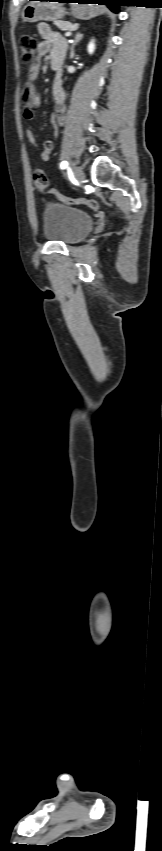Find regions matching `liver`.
Returning <instances> with one entry per match:
<instances>
[{
	"label": "liver",
	"instance_id": "6515ba94",
	"mask_svg": "<svg viewBox=\"0 0 162 851\" xmlns=\"http://www.w3.org/2000/svg\"><path fill=\"white\" fill-rule=\"evenodd\" d=\"M46 4H47V5H55V6H59V5H60V4H58L57 2H51V3H48V2H47Z\"/></svg>",
	"mask_w": 162,
	"mask_h": 851
}]
</instances>
